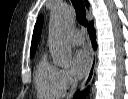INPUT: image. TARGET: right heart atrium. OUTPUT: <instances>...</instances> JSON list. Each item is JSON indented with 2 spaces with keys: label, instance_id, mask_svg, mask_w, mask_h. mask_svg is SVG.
<instances>
[{
  "label": "right heart atrium",
  "instance_id": "right-heart-atrium-1",
  "mask_svg": "<svg viewBox=\"0 0 128 99\" xmlns=\"http://www.w3.org/2000/svg\"><path fill=\"white\" fill-rule=\"evenodd\" d=\"M59 80L64 90L71 88L76 84L75 76L66 68L59 69Z\"/></svg>",
  "mask_w": 128,
  "mask_h": 99
}]
</instances>
